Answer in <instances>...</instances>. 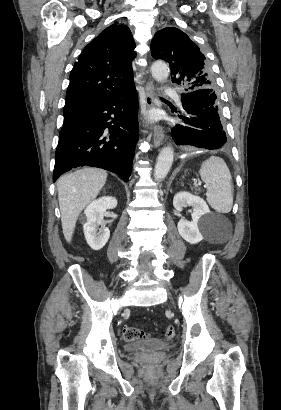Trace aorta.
I'll use <instances>...</instances> for the list:
<instances>
[{
    "instance_id": "762f6f07",
    "label": "aorta",
    "mask_w": 281,
    "mask_h": 410,
    "mask_svg": "<svg viewBox=\"0 0 281 410\" xmlns=\"http://www.w3.org/2000/svg\"><path fill=\"white\" fill-rule=\"evenodd\" d=\"M151 73L158 82L166 80L169 76V67L165 62L156 61L151 67ZM174 159V151L171 146H166L160 151L154 170V177L158 181L166 178L171 169Z\"/></svg>"
}]
</instances>
